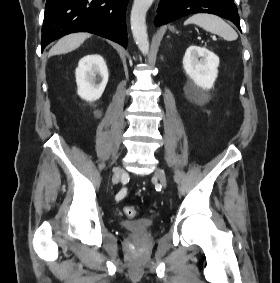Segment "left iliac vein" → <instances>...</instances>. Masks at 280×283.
Wrapping results in <instances>:
<instances>
[{"mask_svg":"<svg viewBox=\"0 0 280 283\" xmlns=\"http://www.w3.org/2000/svg\"><path fill=\"white\" fill-rule=\"evenodd\" d=\"M154 175H155L156 178H158V180L160 181L162 186L166 187L167 180H166V176H165L164 171L161 170V169H156Z\"/></svg>","mask_w":280,"mask_h":283,"instance_id":"4c4485c4","label":"left iliac vein"}]
</instances>
